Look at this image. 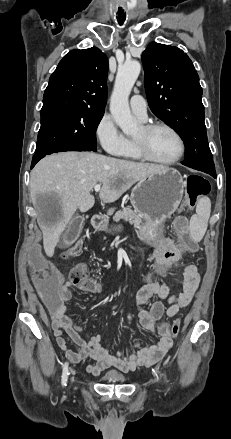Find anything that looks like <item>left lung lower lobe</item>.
I'll return each instance as SVG.
<instances>
[{"label":"left lung lower lobe","mask_w":231,"mask_h":439,"mask_svg":"<svg viewBox=\"0 0 231 439\" xmlns=\"http://www.w3.org/2000/svg\"><path fill=\"white\" fill-rule=\"evenodd\" d=\"M203 172H205V171H203ZM205 173H208V174H210L211 176L216 177V172H205Z\"/></svg>","instance_id":"1"}]
</instances>
